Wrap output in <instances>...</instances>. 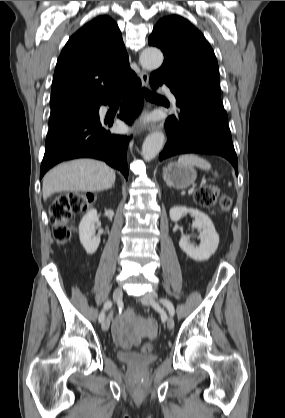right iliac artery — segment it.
Here are the masks:
<instances>
[{
    "label": "right iliac artery",
    "mask_w": 285,
    "mask_h": 418,
    "mask_svg": "<svg viewBox=\"0 0 285 418\" xmlns=\"http://www.w3.org/2000/svg\"><path fill=\"white\" fill-rule=\"evenodd\" d=\"M111 306H112V302L109 300V301H106L105 302V304H104V306H103V310H102V312L99 314V322H103L104 321V318H105V311L106 310H108L109 308H111Z\"/></svg>",
    "instance_id": "82829eb1"
}]
</instances>
